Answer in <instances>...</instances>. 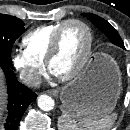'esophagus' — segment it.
I'll use <instances>...</instances> for the list:
<instances>
[{
    "mask_svg": "<svg viewBox=\"0 0 130 130\" xmlns=\"http://www.w3.org/2000/svg\"><path fill=\"white\" fill-rule=\"evenodd\" d=\"M47 93L52 95V96H57L58 95V91L57 90H48Z\"/></svg>",
    "mask_w": 130,
    "mask_h": 130,
    "instance_id": "34e87169",
    "label": "esophagus"
}]
</instances>
